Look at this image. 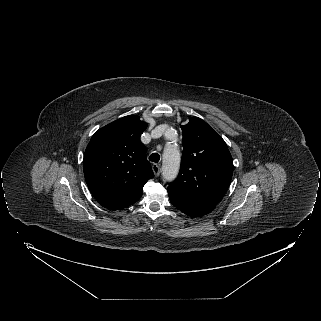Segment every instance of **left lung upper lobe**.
Returning a JSON list of instances; mask_svg holds the SVG:
<instances>
[{"label": "left lung upper lobe", "mask_w": 321, "mask_h": 321, "mask_svg": "<svg viewBox=\"0 0 321 321\" xmlns=\"http://www.w3.org/2000/svg\"><path fill=\"white\" fill-rule=\"evenodd\" d=\"M183 153L178 178L167 190L186 200L216 206L233 173L228 147L212 127L198 117L181 125Z\"/></svg>", "instance_id": "1"}]
</instances>
